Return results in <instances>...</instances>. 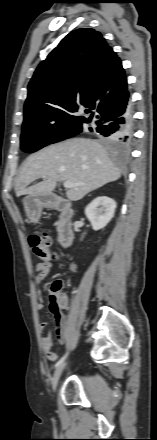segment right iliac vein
<instances>
[{"label": "right iliac vein", "instance_id": "63e3f726", "mask_svg": "<svg viewBox=\"0 0 157 440\" xmlns=\"http://www.w3.org/2000/svg\"><path fill=\"white\" fill-rule=\"evenodd\" d=\"M64 368H65V364H61V365L58 366V367L56 368V370L54 371V374H53V377H52V381H51V383H52V389H53L54 391L56 390V388H57V386H58L59 379H60V376H61V374H62Z\"/></svg>", "mask_w": 157, "mask_h": 440}]
</instances>
